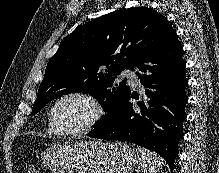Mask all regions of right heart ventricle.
Returning a JSON list of instances; mask_svg holds the SVG:
<instances>
[{"label":"right heart ventricle","mask_w":219,"mask_h":173,"mask_svg":"<svg viewBox=\"0 0 219 173\" xmlns=\"http://www.w3.org/2000/svg\"><path fill=\"white\" fill-rule=\"evenodd\" d=\"M47 131L49 134H54L53 131L51 130L50 126L48 127Z\"/></svg>","instance_id":"right-heart-ventricle-1"}]
</instances>
